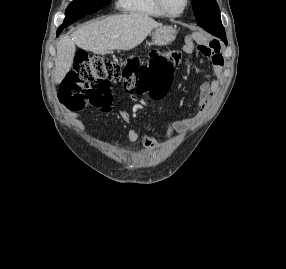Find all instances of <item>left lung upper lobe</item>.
I'll return each mask as SVG.
<instances>
[{
  "instance_id": "5c2ea615",
  "label": "left lung upper lobe",
  "mask_w": 286,
  "mask_h": 269,
  "mask_svg": "<svg viewBox=\"0 0 286 269\" xmlns=\"http://www.w3.org/2000/svg\"><path fill=\"white\" fill-rule=\"evenodd\" d=\"M193 11L198 25L216 37L225 38L221 23L220 10L216 0H192Z\"/></svg>"
}]
</instances>
